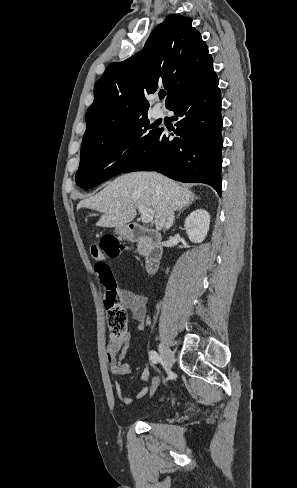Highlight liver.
<instances>
[{"label":"liver","instance_id":"6515ba94","mask_svg":"<svg viewBox=\"0 0 297 488\" xmlns=\"http://www.w3.org/2000/svg\"><path fill=\"white\" fill-rule=\"evenodd\" d=\"M194 199L188 188L156 172H133L107 183L98 194L79 202L77 209L88 208L103 215L96 223L100 227H125L143 205L154 211L156 228L165 225L168 214L179 210Z\"/></svg>","mask_w":297,"mask_h":488}]
</instances>
